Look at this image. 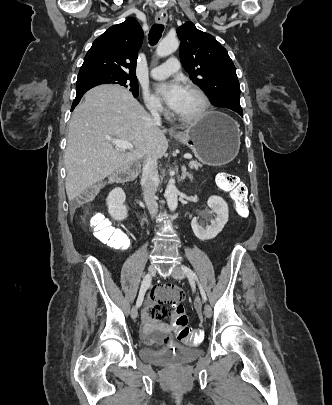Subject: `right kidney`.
I'll return each mask as SVG.
<instances>
[{
  "instance_id": "right-kidney-1",
  "label": "right kidney",
  "mask_w": 332,
  "mask_h": 405,
  "mask_svg": "<svg viewBox=\"0 0 332 405\" xmlns=\"http://www.w3.org/2000/svg\"><path fill=\"white\" fill-rule=\"evenodd\" d=\"M125 199V193L119 187L114 188L107 197L108 212L117 221H123L128 216L127 207L124 204Z\"/></svg>"
}]
</instances>
